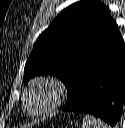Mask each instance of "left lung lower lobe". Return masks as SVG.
I'll return each mask as SVG.
<instances>
[{
    "mask_svg": "<svg viewBox=\"0 0 125 128\" xmlns=\"http://www.w3.org/2000/svg\"><path fill=\"white\" fill-rule=\"evenodd\" d=\"M124 105L125 45L121 37L89 71L76 99L62 110L91 114L117 126Z\"/></svg>",
    "mask_w": 125,
    "mask_h": 128,
    "instance_id": "left-lung-lower-lobe-1",
    "label": "left lung lower lobe"
}]
</instances>
